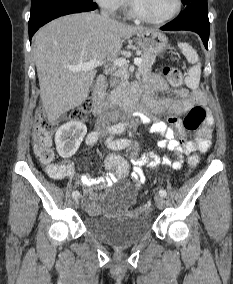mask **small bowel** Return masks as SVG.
I'll return each mask as SVG.
<instances>
[{"instance_id": "obj_1", "label": "small bowel", "mask_w": 233, "mask_h": 284, "mask_svg": "<svg viewBox=\"0 0 233 284\" xmlns=\"http://www.w3.org/2000/svg\"><path fill=\"white\" fill-rule=\"evenodd\" d=\"M146 97L142 106L135 112V117L145 124H150L152 132L160 134L163 138L159 146L176 154L174 161L167 157L161 158L155 152H148L143 156L131 155L133 164L131 178L137 184H143L146 180L145 173L141 166L147 164L149 168H154L159 164L164 167L180 169L183 165V156L193 153L206 152L211 145V133L213 119L207 117L205 124L200 127L191 140L185 137V128L180 116L188 112L195 105H204L206 99L201 91H188L181 88L175 91L174 97L156 98V92H165L168 90V84L159 74H151L145 79ZM167 113V122L153 118L155 114ZM46 173L54 180L71 179L75 173V166L70 161L48 164ZM117 179L113 175L104 178H92L87 173H83L80 183L84 186L87 193L85 200V209L89 213L96 212V202L91 196L96 187L110 186Z\"/></svg>"}]
</instances>
